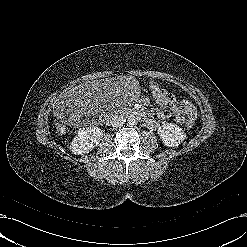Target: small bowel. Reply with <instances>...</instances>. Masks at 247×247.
<instances>
[{"instance_id": "small-bowel-1", "label": "small bowel", "mask_w": 247, "mask_h": 247, "mask_svg": "<svg viewBox=\"0 0 247 247\" xmlns=\"http://www.w3.org/2000/svg\"><path fill=\"white\" fill-rule=\"evenodd\" d=\"M154 88H159L162 91H166L164 89H162L158 84L156 83H151L150 84V89H154ZM144 103H147V99L144 98L143 99ZM160 105L163 106H170L171 109L174 111V118L178 123H183L187 118L190 117H195L197 116V112L195 107L187 102V101H180L175 99L173 96L170 100H162L161 102H159ZM161 119H168L171 117V113L169 111H162L159 114ZM151 121L149 123H147V125L150 128H156L158 125V122L156 121V119L150 117Z\"/></svg>"}]
</instances>
